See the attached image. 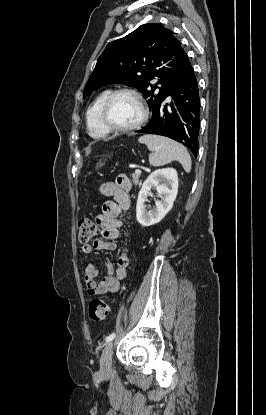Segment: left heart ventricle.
<instances>
[{
	"instance_id": "b2bd125f",
	"label": "left heart ventricle",
	"mask_w": 266,
	"mask_h": 415,
	"mask_svg": "<svg viewBox=\"0 0 266 415\" xmlns=\"http://www.w3.org/2000/svg\"><path fill=\"white\" fill-rule=\"evenodd\" d=\"M109 117L114 125L128 127L140 119L141 108L133 96L121 94L113 100Z\"/></svg>"
}]
</instances>
